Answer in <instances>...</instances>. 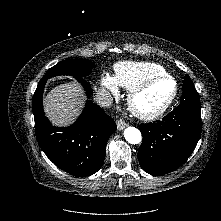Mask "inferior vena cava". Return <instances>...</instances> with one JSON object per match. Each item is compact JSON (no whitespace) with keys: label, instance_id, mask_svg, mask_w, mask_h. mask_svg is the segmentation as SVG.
I'll list each match as a JSON object with an SVG mask.
<instances>
[{"label":"inferior vena cava","instance_id":"1","mask_svg":"<svg viewBox=\"0 0 221 221\" xmlns=\"http://www.w3.org/2000/svg\"><path fill=\"white\" fill-rule=\"evenodd\" d=\"M96 103L100 107H108L111 105L113 98L109 91L102 89L96 93Z\"/></svg>","mask_w":221,"mask_h":221}]
</instances>
